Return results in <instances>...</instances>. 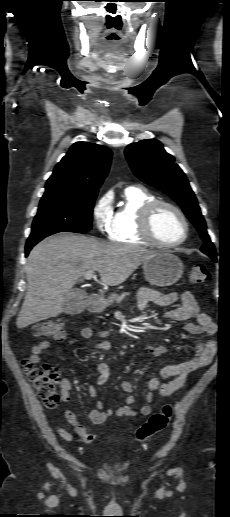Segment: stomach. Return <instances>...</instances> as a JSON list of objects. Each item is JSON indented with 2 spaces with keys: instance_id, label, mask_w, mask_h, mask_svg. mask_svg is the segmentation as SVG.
<instances>
[{
  "instance_id": "stomach-1",
  "label": "stomach",
  "mask_w": 230,
  "mask_h": 517,
  "mask_svg": "<svg viewBox=\"0 0 230 517\" xmlns=\"http://www.w3.org/2000/svg\"><path fill=\"white\" fill-rule=\"evenodd\" d=\"M145 279L154 286L165 287L175 284L183 274L182 261L169 252H156L147 261L143 262ZM116 295L113 294L105 302L110 304Z\"/></svg>"
}]
</instances>
